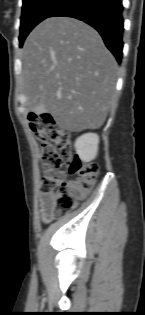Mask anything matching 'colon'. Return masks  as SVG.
Returning a JSON list of instances; mask_svg holds the SVG:
<instances>
[{
    "label": "colon",
    "mask_w": 145,
    "mask_h": 315,
    "mask_svg": "<svg viewBox=\"0 0 145 315\" xmlns=\"http://www.w3.org/2000/svg\"><path fill=\"white\" fill-rule=\"evenodd\" d=\"M28 121L41 145L43 175L40 190L43 194L54 195L56 214L66 213L95 184L99 167L95 163L81 161L74 152L70 135L50 115L32 114ZM67 173L75 178L67 182Z\"/></svg>",
    "instance_id": "1"
}]
</instances>
